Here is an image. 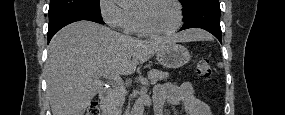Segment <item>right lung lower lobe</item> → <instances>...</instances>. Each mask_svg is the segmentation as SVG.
Listing matches in <instances>:
<instances>
[{
  "instance_id": "98d812e1",
  "label": "right lung lower lobe",
  "mask_w": 285,
  "mask_h": 115,
  "mask_svg": "<svg viewBox=\"0 0 285 115\" xmlns=\"http://www.w3.org/2000/svg\"><path fill=\"white\" fill-rule=\"evenodd\" d=\"M80 20H89L104 24L101 15L88 12H66L49 19L48 42L62 27Z\"/></svg>"
}]
</instances>
